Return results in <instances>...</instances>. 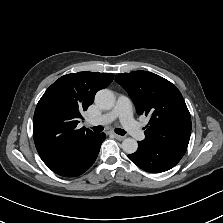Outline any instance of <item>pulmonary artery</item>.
Wrapping results in <instances>:
<instances>
[{
  "instance_id": "e3ab8cb5",
  "label": "pulmonary artery",
  "mask_w": 223,
  "mask_h": 223,
  "mask_svg": "<svg viewBox=\"0 0 223 223\" xmlns=\"http://www.w3.org/2000/svg\"><path fill=\"white\" fill-rule=\"evenodd\" d=\"M119 119L124 127L131 132L133 138L143 140L146 137L145 132L139 131V125L133 119L132 103L130 99L124 95H120L114 107L107 113L89 119L90 125H107Z\"/></svg>"
}]
</instances>
